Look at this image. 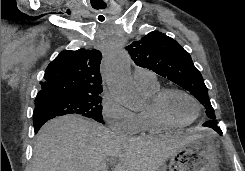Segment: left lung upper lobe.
I'll use <instances>...</instances> for the list:
<instances>
[{"mask_svg":"<svg viewBox=\"0 0 245 171\" xmlns=\"http://www.w3.org/2000/svg\"><path fill=\"white\" fill-rule=\"evenodd\" d=\"M138 66L148 68L189 91L204 105L206 115L215 123L214 109L201 73L190 54L176 40L157 31L150 32L127 47Z\"/></svg>","mask_w":245,"mask_h":171,"instance_id":"obj_1","label":"left lung upper lobe"}]
</instances>
